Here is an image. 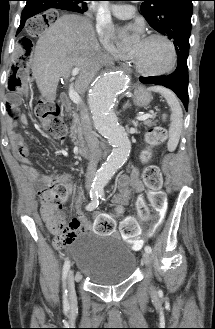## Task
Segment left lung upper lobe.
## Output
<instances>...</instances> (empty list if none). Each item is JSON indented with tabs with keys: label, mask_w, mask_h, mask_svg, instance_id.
<instances>
[{
	"label": "left lung upper lobe",
	"mask_w": 215,
	"mask_h": 329,
	"mask_svg": "<svg viewBox=\"0 0 215 329\" xmlns=\"http://www.w3.org/2000/svg\"><path fill=\"white\" fill-rule=\"evenodd\" d=\"M141 11L149 25L169 37L178 55L189 53L193 0H142Z\"/></svg>",
	"instance_id": "5c2ea615"
}]
</instances>
